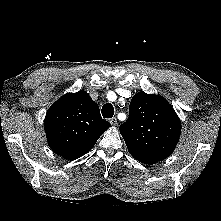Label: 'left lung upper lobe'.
<instances>
[{
  "instance_id": "5c2ea615",
  "label": "left lung upper lobe",
  "mask_w": 221,
  "mask_h": 221,
  "mask_svg": "<svg viewBox=\"0 0 221 221\" xmlns=\"http://www.w3.org/2000/svg\"><path fill=\"white\" fill-rule=\"evenodd\" d=\"M119 129L129 153L139 162L152 164L173 152L181 123L165 99L138 92L130 102L127 121Z\"/></svg>"
}]
</instances>
